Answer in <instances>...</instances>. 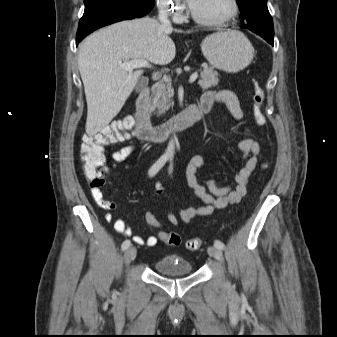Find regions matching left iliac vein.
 <instances>
[{
    "instance_id": "left-iliac-vein-1",
    "label": "left iliac vein",
    "mask_w": 337,
    "mask_h": 337,
    "mask_svg": "<svg viewBox=\"0 0 337 337\" xmlns=\"http://www.w3.org/2000/svg\"><path fill=\"white\" fill-rule=\"evenodd\" d=\"M208 254L220 262L224 260L222 251L216 247H209Z\"/></svg>"
}]
</instances>
